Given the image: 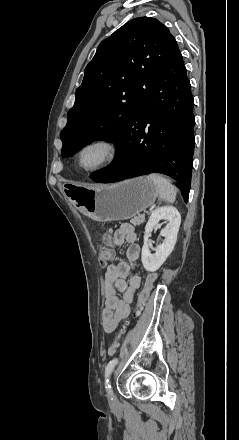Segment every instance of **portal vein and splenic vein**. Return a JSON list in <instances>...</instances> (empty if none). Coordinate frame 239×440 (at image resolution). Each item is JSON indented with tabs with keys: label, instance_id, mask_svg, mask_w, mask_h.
<instances>
[{
	"label": "portal vein and splenic vein",
	"instance_id": "1",
	"mask_svg": "<svg viewBox=\"0 0 239 440\" xmlns=\"http://www.w3.org/2000/svg\"><path fill=\"white\" fill-rule=\"evenodd\" d=\"M157 201L159 202L160 200L158 199ZM158 205H159L158 203H157L156 205H155V204H152V206H150L149 211L152 212L155 208H158V207H159Z\"/></svg>",
	"mask_w": 239,
	"mask_h": 440
}]
</instances>
